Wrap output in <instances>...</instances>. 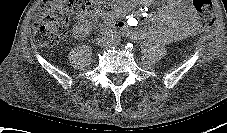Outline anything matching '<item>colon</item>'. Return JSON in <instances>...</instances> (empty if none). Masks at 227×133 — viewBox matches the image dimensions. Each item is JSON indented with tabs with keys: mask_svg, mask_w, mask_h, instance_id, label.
Returning <instances> with one entry per match:
<instances>
[{
	"mask_svg": "<svg viewBox=\"0 0 227 133\" xmlns=\"http://www.w3.org/2000/svg\"><path fill=\"white\" fill-rule=\"evenodd\" d=\"M200 18L202 32H207L214 18L213 0H193ZM95 9L91 0H43L34 20V39L40 45L52 46L67 33L71 17L81 16ZM103 10L109 11L104 7Z\"/></svg>",
	"mask_w": 227,
	"mask_h": 133,
	"instance_id": "5ec220e1",
	"label": "colon"
}]
</instances>
